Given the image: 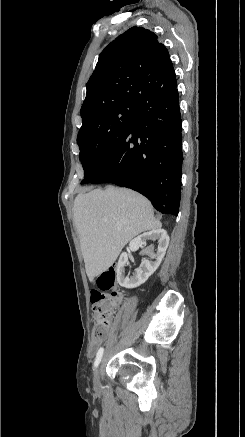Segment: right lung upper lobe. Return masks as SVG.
<instances>
[{
	"instance_id": "1",
	"label": "right lung upper lobe",
	"mask_w": 245,
	"mask_h": 437,
	"mask_svg": "<svg viewBox=\"0 0 245 437\" xmlns=\"http://www.w3.org/2000/svg\"><path fill=\"white\" fill-rule=\"evenodd\" d=\"M82 120L115 104H134L177 89L175 71L166 47L150 30L132 27L100 53L86 84Z\"/></svg>"
}]
</instances>
